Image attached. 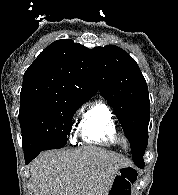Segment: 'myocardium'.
Returning a JSON list of instances; mask_svg holds the SVG:
<instances>
[{"instance_id": "f54148a6", "label": "myocardium", "mask_w": 178, "mask_h": 195, "mask_svg": "<svg viewBox=\"0 0 178 195\" xmlns=\"http://www.w3.org/2000/svg\"><path fill=\"white\" fill-rule=\"evenodd\" d=\"M119 143L123 149H128L130 147V141L127 137L121 136L119 139Z\"/></svg>"}]
</instances>
